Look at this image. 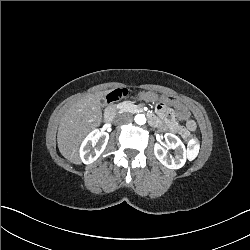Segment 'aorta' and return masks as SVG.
<instances>
[{
	"label": "aorta",
	"instance_id": "obj_1",
	"mask_svg": "<svg viewBox=\"0 0 250 250\" xmlns=\"http://www.w3.org/2000/svg\"><path fill=\"white\" fill-rule=\"evenodd\" d=\"M134 120H135V123L138 125H144L146 123V117L144 114H137Z\"/></svg>",
	"mask_w": 250,
	"mask_h": 250
}]
</instances>
